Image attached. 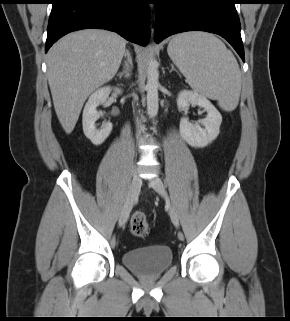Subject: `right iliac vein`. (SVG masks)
I'll list each match as a JSON object with an SVG mask.
<instances>
[{
    "label": "right iliac vein",
    "instance_id": "63e3f726",
    "mask_svg": "<svg viewBox=\"0 0 290 321\" xmlns=\"http://www.w3.org/2000/svg\"><path fill=\"white\" fill-rule=\"evenodd\" d=\"M140 187H141V179L138 175V171L135 170L131 184H130V188L124 203V206L122 208V211L120 213L119 216V226H123L126 221L128 220L130 211L134 205V202L136 201L137 197H138V193L140 191Z\"/></svg>",
    "mask_w": 290,
    "mask_h": 321
}]
</instances>
